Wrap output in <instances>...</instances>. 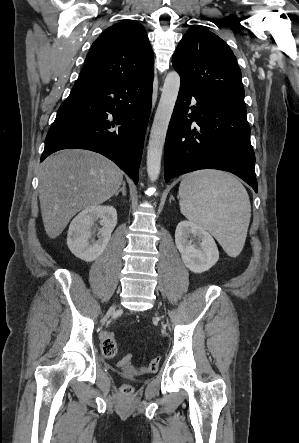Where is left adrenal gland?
<instances>
[{
	"label": "left adrenal gland",
	"instance_id": "left-adrenal-gland-1",
	"mask_svg": "<svg viewBox=\"0 0 299 443\" xmlns=\"http://www.w3.org/2000/svg\"><path fill=\"white\" fill-rule=\"evenodd\" d=\"M171 200H174L173 196L170 197L169 202H171Z\"/></svg>",
	"mask_w": 299,
	"mask_h": 443
}]
</instances>
